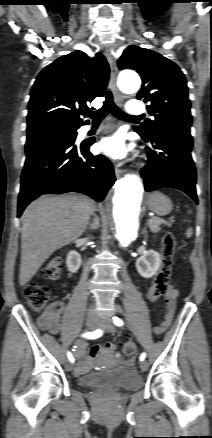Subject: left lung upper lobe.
Masks as SVG:
<instances>
[{"instance_id": "obj_1", "label": "left lung upper lobe", "mask_w": 212, "mask_h": 438, "mask_svg": "<svg viewBox=\"0 0 212 438\" xmlns=\"http://www.w3.org/2000/svg\"><path fill=\"white\" fill-rule=\"evenodd\" d=\"M118 67L134 69L140 74L143 85L137 97L151 102L147 109L155 120H146L136 130L149 137L157 129H190L192 115L187 82L175 63L157 52L131 45L119 58Z\"/></svg>"}]
</instances>
